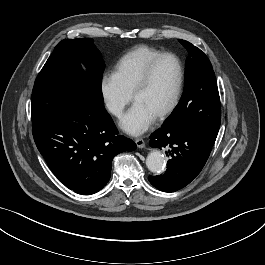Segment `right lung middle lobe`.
Wrapping results in <instances>:
<instances>
[{
  "instance_id": "obj_1",
  "label": "right lung middle lobe",
  "mask_w": 265,
  "mask_h": 265,
  "mask_svg": "<svg viewBox=\"0 0 265 265\" xmlns=\"http://www.w3.org/2000/svg\"><path fill=\"white\" fill-rule=\"evenodd\" d=\"M81 63L88 68V73L83 71ZM104 68L93 39H64L59 42L35 80L32 126H38L80 95L102 103Z\"/></svg>"
}]
</instances>
